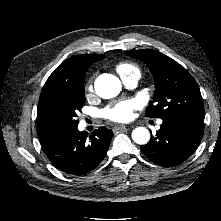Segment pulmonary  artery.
Returning a JSON list of instances; mask_svg holds the SVG:
<instances>
[{"label": "pulmonary artery", "instance_id": "e3ab8cb5", "mask_svg": "<svg viewBox=\"0 0 221 221\" xmlns=\"http://www.w3.org/2000/svg\"><path fill=\"white\" fill-rule=\"evenodd\" d=\"M122 78V81L123 83L129 87V88H133L137 85L138 83V80L140 78V75L139 74H129L127 76H123L121 77ZM162 121L159 120L158 121V125H161Z\"/></svg>", "mask_w": 221, "mask_h": 221}]
</instances>
